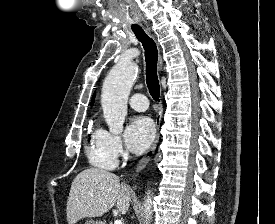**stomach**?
<instances>
[{"label": "stomach", "mask_w": 275, "mask_h": 224, "mask_svg": "<svg viewBox=\"0 0 275 224\" xmlns=\"http://www.w3.org/2000/svg\"><path fill=\"white\" fill-rule=\"evenodd\" d=\"M85 224H104L102 221L87 220Z\"/></svg>", "instance_id": "0dacf381"}]
</instances>
